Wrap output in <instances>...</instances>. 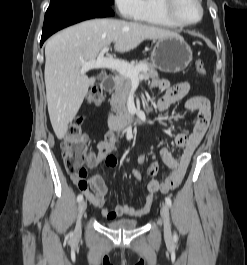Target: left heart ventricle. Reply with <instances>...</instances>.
Instances as JSON below:
<instances>
[{"label": "left heart ventricle", "mask_w": 247, "mask_h": 265, "mask_svg": "<svg viewBox=\"0 0 247 265\" xmlns=\"http://www.w3.org/2000/svg\"><path fill=\"white\" fill-rule=\"evenodd\" d=\"M176 12L186 22L196 21L200 15V10L195 0H178Z\"/></svg>", "instance_id": "left-heart-ventricle-1"}]
</instances>
